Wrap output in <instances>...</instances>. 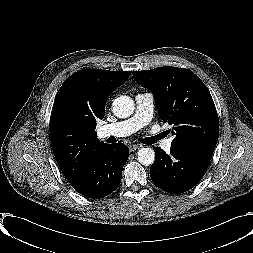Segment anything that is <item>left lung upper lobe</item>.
<instances>
[{"mask_svg":"<svg viewBox=\"0 0 253 253\" xmlns=\"http://www.w3.org/2000/svg\"><path fill=\"white\" fill-rule=\"evenodd\" d=\"M133 76L154 94L163 122L173 126L171 145L214 151L218 115L210 92L198 76L171 66L134 71Z\"/></svg>","mask_w":253,"mask_h":253,"instance_id":"obj_1","label":"left lung upper lobe"}]
</instances>
